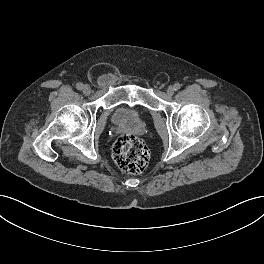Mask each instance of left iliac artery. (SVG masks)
Wrapping results in <instances>:
<instances>
[{"label": "left iliac artery", "mask_w": 264, "mask_h": 264, "mask_svg": "<svg viewBox=\"0 0 264 264\" xmlns=\"http://www.w3.org/2000/svg\"><path fill=\"white\" fill-rule=\"evenodd\" d=\"M181 88V85L179 83L174 84V90L178 91Z\"/></svg>", "instance_id": "44dca946"}]
</instances>
